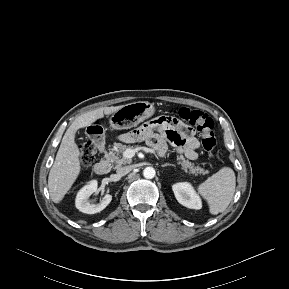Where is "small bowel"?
<instances>
[{"instance_id":"small-bowel-1","label":"small bowel","mask_w":289,"mask_h":289,"mask_svg":"<svg viewBox=\"0 0 289 289\" xmlns=\"http://www.w3.org/2000/svg\"><path fill=\"white\" fill-rule=\"evenodd\" d=\"M194 134L192 128L179 120L164 117L144 123L131 133V138L144 140L160 155L166 152L167 142H169L178 152L183 153L188 159L194 160L198 156L197 149L200 145Z\"/></svg>"}]
</instances>
